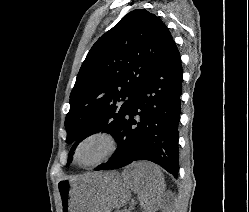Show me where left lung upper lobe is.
<instances>
[{
    "instance_id": "obj_1",
    "label": "left lung upper lobe",
    "mask_w": 249,
    "mask_h": 212,
    "mask_svg": "<svg viewBox=\"0 0 249 212\" xmlns=\"http://www.w3.org/2000/svg\"><path fill=\"white\" fill-rule=\"evenodd\" d=\"M173 39L165 24L145 9L125 15L92 46L70 94L67 143L100 131L115 139L132 99Z\"/></svg>"
}]
</instances>
